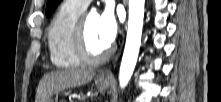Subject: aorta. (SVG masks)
Listing matches in <instances>:
<instances>
[{"label":"aorta","mask_w":221,"mask_h":102,"mask_svg":"<svg viewBox=\"0 0 221 102\" xmlns=\"http://www.w3.org/2000/svg\"><path fill=\"white\" fill-rule=\"evenodd\" d=\"M144 5L145 0H129L128 30L119 71L121 88L128 84L136 66L141 45Z\"/></svg>","instance_id":"1"}]
</instances>
